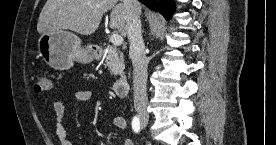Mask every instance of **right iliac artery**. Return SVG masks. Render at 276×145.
Masks as SVG:
<instances>
[{
  "label": "right iliac artery",
  "mask_w": 276,
  "mask_h": 145,
  "mask_svg": "<svg viewBox=\"0 0 276 145\" xmlns=\"http://www.w3.org/2000/svg\"><path fill=\"white\" fill-rule=\"evenodd\" d=\"M132 129L134 132L138 133L140 131V119L139 117L135 116L132 119Z\"/></svg>",
  "instance_id": "1"
}]
</instances>
